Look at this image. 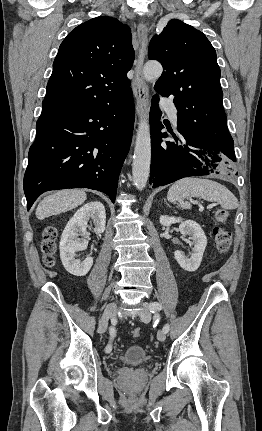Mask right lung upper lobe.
<instances>
[{"instance_id": "cb5924a9", "label": "right lung upper lobe", "mask_w": 262, "mask_h": 431, "mask_svg": "<svg viewBox=\"0 0 262 431\" xmlns=\"http://www.w3.org/2000/svg\"><path fill=\"white\" fill-rule=\"evenodd\" d=\"M134 57L127 25L107 16L80 24L59 47L42 112L95 109L118 102L131 90L127 72Z\"/></svg>"}]
</instances>
